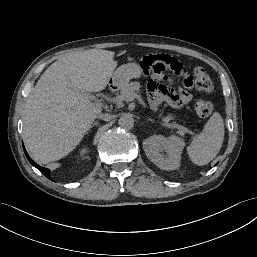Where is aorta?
<instances>
[{
    "label": "aorta",
    "mask_w": 257,
    "mask_h": 257,
    "mask_svg": "<svg viewBox=\"0 0 257 257\" xmlns=\"http://www.w3.org/2000/svg\"><path fill=\"white\" fill-rule=\"evenodd\" d=\"M118 124L121 128L129 130L134 126V119L130 114L124 113L120 116Z\"/></svg>",
    "instance_id": "1"
}]
</instances>
